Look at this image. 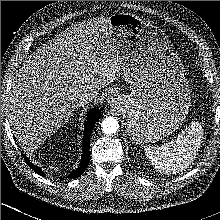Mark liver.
I'll return each mask as SVG.
<instances>
[{
  "label": "liver",
  "instance_id": "1",
  "mask_svg": "<svg viewBox=\"0 0 220 220\" xmlns=\"http://www.w3.org/2000/svg\"><path fill=\"white\" fill-rule=\"evenodd\" d=\"M110 17L74 24L28 57L9 93L18 141L34 149L63 126L85 92L99 94L119 78L123 57Z\"/></svg>",
  "mask_w": 220,
  "mask_h": 220
}]
</instances>
